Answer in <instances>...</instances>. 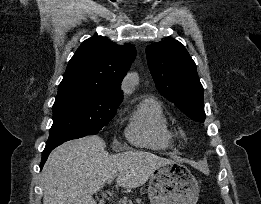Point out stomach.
<instances>
[{"instance_id": "0dacf381", "label": "stomach", "mask_w": 261, "mask_h": 204, "mask_svg": "<svg viewBox=\"0 0 261 204\" xmlns=\"http://www.w3.org/2000/svg\"><path fill=\"white\" fill-rule=\"evenodd\" d=\"M199 186L191 171L170 160L150 175L148 197L151 204H196Z\"/></svg>"}]
</instances>
